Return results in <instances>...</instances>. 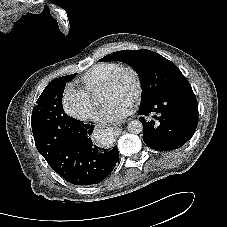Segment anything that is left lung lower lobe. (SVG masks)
I'll return each instance as SVG.
<instances>
[{"mask_svg": "<svg viewBox=\"0 0 227 227\" xmlns=\"http://www.w3.org/2000/svg\"><path fill=\"white\" fill-rule=\"evenodd\" d=\"M138 114L143 125V140L157 150H174L183 146L198 124V104L192 90L177 92L140 105ZM153 115L157 121H146Z\"/></svg>", "mask_w": 227, "mask_h": 227, "instance_id": "1", "label": "left lung lower lobe"}]
</instances>
